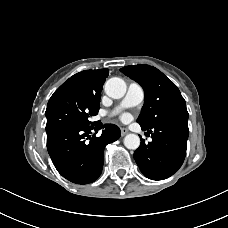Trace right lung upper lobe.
<instances>
[{"instance_id": "obj_1", "label": "right lung upper lobe", "mask_w": 228, "mask_h": 228, "mask_svg": "<svg viewBox=\"0 0 228 228\" xmlns=\"http://www.w3.org/2000/svg\"><path fill=\"white\" fill-rule=\"evenodd\" d=\"M108 73V69L85 70L73 75L65 83L73 85L83 94L101 97L102 86Z\"/></svg>"}]
</instances>
